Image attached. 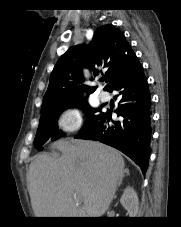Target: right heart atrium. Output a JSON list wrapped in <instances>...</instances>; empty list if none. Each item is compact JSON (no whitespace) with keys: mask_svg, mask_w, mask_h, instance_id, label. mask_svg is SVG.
I'll return each mask as SVG.
<instances>
[{"mask_svg":"<svg viewBox=\"0 0 181 227\" xmlns=\"http://www.w3.org/2000/svg\"><path fill=\"white\" fill-rule=\"evenodd\" d=\"M57 125L64 134L76 133L83 125L82 113L76 107H68L59 115Z\"/></svg>","mask_w":181,"mask_h":227,"instance_id":"right-heart-atrium-1","label":"right heart atrium"}]
</instances>
